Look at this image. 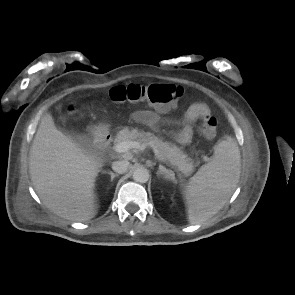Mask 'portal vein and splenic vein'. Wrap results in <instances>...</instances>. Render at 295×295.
<instances>
[{
    "label": "portal vein and splenic vein",
    "mask_w": 295,
    "mask_h": 295,
    "mask_svg": "<svg viewBox=\"0 0 295 295\" xmlns=\"http://www.w3.org/2000/svg\"><path fill=\"white\" fill-rule=\"evenodd\" d=\"M132 148L145 150L146 145L137 141H123L114 146V150L118 153L128 152Z\"/></svg>",
    "instance_id": "18ae733b"
}]
</instances>
